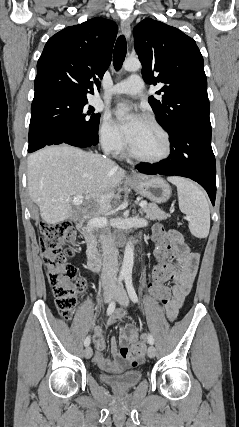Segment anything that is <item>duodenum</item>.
<instances>
[{"mask_svg":"<svg viewBox=\"0 0 239 427\" xmlns=\"http://www.w3.org/2000/svg\"><path fill=\"white\" fill-rule=\"evenodd\" d=\"M78 230L83 239L87 264L90 270L99 272L101 270L102 262L97 246L93 240L92 233L86 226H80Z\"/></svg>","mask_w":239,"mask_h":427,"instance_id":"1","label":"duodenum"}]
</instances>
